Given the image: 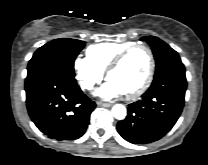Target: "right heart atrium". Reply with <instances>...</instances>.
Instances as JSON below:
<instances>
[{
  "mask_svg": "<svg viewBox=\"0 0 208 165\" xmlns=\"http://www.w3.org/2000/svg\"><path fill=\"white\" fill-rule=\"evenodd\" d=\"M73 67L76 80L83 90H91L103 77V72L99 70L87 57L77 56L74 59Z\"/></svg>",
  "mask_w": 208,
  "mask_h": 165,
  "instance_id": "obj_1",
  "label": "right heart atrium"
}]
</instances>
